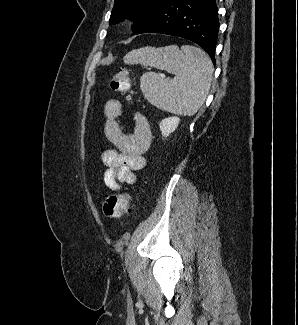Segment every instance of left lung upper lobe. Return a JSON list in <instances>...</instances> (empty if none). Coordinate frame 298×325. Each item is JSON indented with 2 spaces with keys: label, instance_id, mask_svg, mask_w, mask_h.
I'll list each match as a JSON object with an SVG mask.
<instances>
[{
  "label": "left lung upper lobe",
  "instance_id": "5c2ea615",
  "mask_svg": "<svg viewBox=\"0 0 298 325\" xmlns=\"http://www.w3.org/2000/svg\"><path fill=\"white\" fill-rule=\"evenodd\" d=\"M166 0H115L111 12L110 24L122 21L125 17L131 18L135 24V31L146 21Z\"/></svg>",
  "mask_w": 298,
  "mask_h": 325
}]
</instances>
